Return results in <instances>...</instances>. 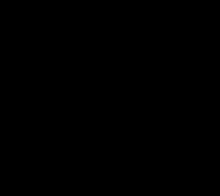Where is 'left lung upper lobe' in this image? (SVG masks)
<instances>
[{
  "mask_svg": "<svg viewBox=\"0 0 220 196\" xmlns=\"http://www.w3.org/2000/svg\"><path fill=\"white\" fill-rule=\"evenodd\" d=\"M150 76L148 134L169 143L192 120L196 91L191 73L175 56L147 51L142 57Z\"/></svg>",
  "mask_w": 220,
  "mask_h": 196,
  "instance_id": "obj_1",
  "label": "left lung upper lobe"
}]
</instances>
